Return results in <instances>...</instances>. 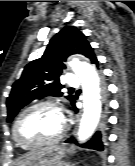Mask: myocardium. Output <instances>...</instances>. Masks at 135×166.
Listing matches in <instances>:
<instances>
[{
	"instance_id": "myocardium-1",
	"label": "myocardium",
	"mask_w": 135,
	"mask_h": 166,
	"mask_svg": "<svg viewBox=\"0 0 135 166\" xmlns=\"http://www.w3.org/2000/svg\"><path fill=\"white\" fill-rule=\"evenodd\" d=\"M42 107L53 108L61 114L63 126H62L60 133L55 138H53L51 140H47V141H42V142H37V143H25V142H23L22 140L19 139L18 133H17V128H18V124H19L20 120L22 119V117L26 113H28L34 109L42 108ZM66 130H67V120H66V117L64 114L63 106L58 102L47 100V101H41V102H38V103H35L33 105L28 106L17 116V118L13 124L12 136H13L14 141L20 147L26 148V149H36V148H41V147H45V146H52V145L59 143L63 139V137L65 136Z\"/></svg>"
}]
</instances>
